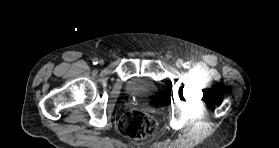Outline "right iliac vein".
<instances>
[{"instance_id": "right-iliac-vein-1", "label": "right iliac vein", "mask_w": 279, "mask_h": 148, "mask_svg": "<svg viewBox=\"0 0 279 148\" xmlns=\"http://www.w3.org/2000/svg\"><path fill=\"white\" fill-rule=\"evenodd\" d=\"M99 63L102 65L104 62L101 60Z\"/></svg>"}]
</instances>
